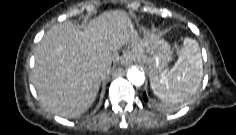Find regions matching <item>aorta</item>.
Listing matches in <instances>:
<instances>
[{
	"mask_svg": "<svg viewBox=\"0 0 236 135\" xmlns=\"http://www.w3.org/2000/svg\"><path fill=\"white\" fill-rule=\"evenodd\" d=\"M127 78L133 85L136 86L142 85L145 81L144 73L137 67H132L128 70Z\"/></svg>",
	"mask_w": 236,
	"mask_h": 135,
	"instance_id": "1",
	"label": "aorta"
}]
</instances>
